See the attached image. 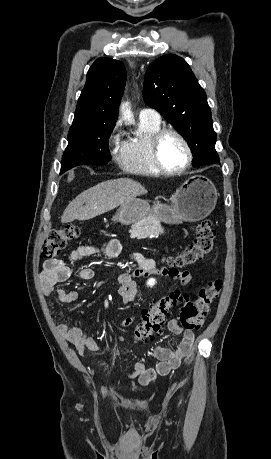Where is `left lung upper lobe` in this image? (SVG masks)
<instances>
[{"label":"left lung upper lobe","instance_id":"1","mask_svg":"<svg viewBox=\"0 0 271 459\" xmlns=\"http://www.w3.org/2000/svg\"><path fill=\"white\" fill-rule=\"evenodd\" d=\"M143 97L187 140L194 167L219 163L206 94L184 59L172 54L156 59L147 69Z\"/></svg>","mask_w":271,"mask_h":459}]
</instances>
